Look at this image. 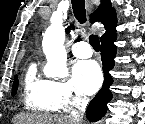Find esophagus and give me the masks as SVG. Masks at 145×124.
Masks as SVG:
<instances>
[{"mask_svg": "<svg viewBox=\"0 0 145 124\" xmlns=\"http://www.w3.org/2000/svg\"><path fill=\"white\" fill-rule=\"evenodd\" d=\"M91 2L92 1H90V0H86V4H87L88 7H89V5H90Z\"/></svg>", "mask_w": 145, "mask_h": 124, "instance_id": "34e87169", "label": "esophagus"}]
</instances>
